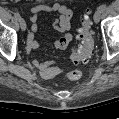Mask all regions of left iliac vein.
Returning a JSON list of instances; mask_svg holds the SVG:
<instances>
[{
  "instance_id": "4c4485c4",
  "label": "left iliac vein",
  "mask_w": 119,
  "mask_h": 119,
  "mask_svg": "<svg viewBox=\"0 0 119 119\" xmlns=\"http://www.w3.org/2000/svg\"><path fill=\"white\" fill-rule=\"evenodd\" d=\"M102 11L100 9H97V11L94 14V21L98 23L101 18Z\"/></svg>"
}]
</instances>
